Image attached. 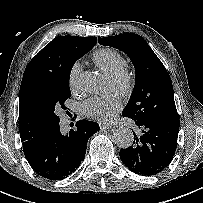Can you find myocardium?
<instances>
[{
  "mask_svg": "<svg viewBox=\"0 0 203 203\" xmlns=\"http://www.w3.org/2000/svg\"><path fill=\"white\" fill-rule=\"evenodd\" d=\"M109 78L120 82V89L126 91L132 84V75L129 68L124 65L108 74Z\"/></svg>",
  "mask_w": 203,
  "mask_h": 203,
  "instance_id": "myocardium-1",
  "label": "myocardium"
}]
</instances>
